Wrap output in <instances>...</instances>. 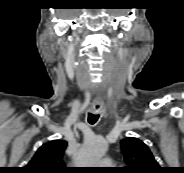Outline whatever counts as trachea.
<instances>
[{
  "label": "trachea",
  "mask_w": 184,
  "mask_h": 173,
  "mask_svg": "<svg viewBox=\"0 0 184 173\" xmlns=\"http://www.w3.org/2000/svg\"><path fill=\"white\" fill-rule=\"evenodd\" d=\"M98 118H99V115H97V114H92V113L88 114V122L91 125L95 124L97 122Z\"/></svg>",
  "instance_id": "3493384b"
}]
</instances>
